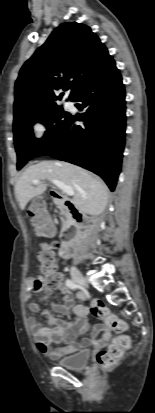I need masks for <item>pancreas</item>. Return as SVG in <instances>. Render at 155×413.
<instances>
[{
	"label": "pancreas",
	"instance_id": "pancreas-1",
	"mask_svg": "<svg viewBox=\"0 0 155 413\" xmlns=\"http://www.w3.org/2000/svg\"><path fill=\"white\" fill-rule=\"evenodd\" d=\"M56 204H57V206L60 208V210H61V214L63 215V214H65V212H64V210H63V208H62V206L58 203V202H56Z\"/></svg>",
	"mask_w": 155,
	"mask_h": 413
}]
</instances>
